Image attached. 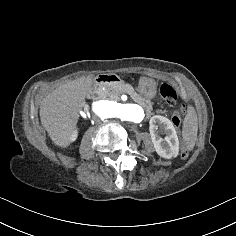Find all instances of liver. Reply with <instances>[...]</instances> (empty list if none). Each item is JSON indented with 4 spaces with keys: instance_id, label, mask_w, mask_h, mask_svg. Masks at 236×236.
<instances>
[{
    "instance_id": "1",
    "label": "liver",
    "mask_w": 236,
    "mask_h": 236,
    "mask_svg": "<svg viewBox=\"0 0 236 236\" xmlns=\"http://www.w3.org/2000/svg\"><path fill=\"white\" fill-rule=\"evenodd\" d=\"M95 77L71 80L47 94L39 104V118L53 145L61 150L72 146L71 133L76 129L80 111L86 106Z\"/></svg>"
}]
</instances>
